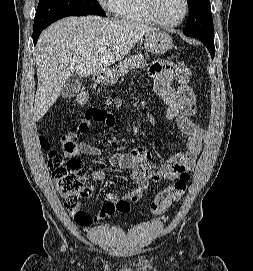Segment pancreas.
Here are the masks:
<instances>
[{"label":"pancreas","mask_w":253,"mask_h":271,"mask_svg":"<svg viewBox=\"0 0 253 271\" xmlns=\"http://www.w3.org/2000/svg\"><path fill=\"white\" fill-rule=\"evenodd\" d=\"M147 65L148 64L143 55L138 54L130 56L118 64V76H124L130 69L144 68Z\"/></svg>","instance_id":"obj_1"}]
</instances>
